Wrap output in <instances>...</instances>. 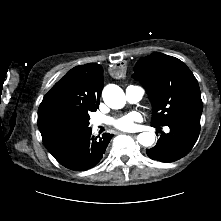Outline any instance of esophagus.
I'll return each mask as SVG.
<instances>
[{
    "label": "esophagus",
    "instance_id": "34e87169",
    "mask_svg": "<svg viewBox=\"0 0 221 221\" xmlns=\"http://www.w3.org/2000/svg\"><path fill=\"white\" fill-rule=\"evenodd\" d=\"M119 133H120V134L122 133L124 136H127V135H128V132H127V131H124V132H118V134H119ZM129 135L134 136L135 134H129Z\"/></svg>",
    "mask_w": 221,
    "mask_h": 221
}]
</instances>
